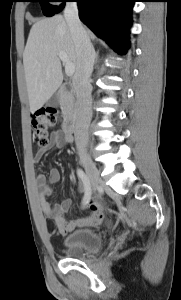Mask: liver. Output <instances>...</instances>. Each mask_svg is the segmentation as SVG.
Instances as JSON below:
<instances>
[{"label": "liver", "mask_w": 181, "mask_h": 300, "mask_svg": "<svg viewBox=\"0 0 181 300\" xmlns=\"http://www.w3.org/2000/svg\"><path fill=\"white\" fill-rule=\"evenodd\" d=\"M89 37L94 35L87 31ZM67 54L77 68V54L65 18L56 15L36 22L29 33L23 53V65L30 111L41 108L63 81L58 53Z\"/></svg>", "instance_id": "1"}]
</instances>
